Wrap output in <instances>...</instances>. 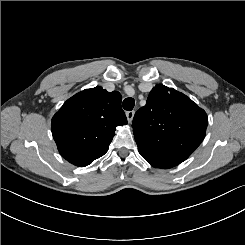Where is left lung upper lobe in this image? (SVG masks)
I'll return each mask as SVG.
<instances>
[{"label":"left lung upper lobe","mask_w":245,"mask_h":245,"mask_svg":"<svg viewBox=\"0 0 245 245\" xmlns=\"http://www.w3.org/2000/svg\"><path fill=\"white\" fill-rule=\"evenodd\" d=\"M208 117L189 97L162 84L150 92L134 116L132 128L139 153L186 160L205 137Z\"/></svg>","instance_id":"left-lung-upper-lobe-1"}]
</instances>
